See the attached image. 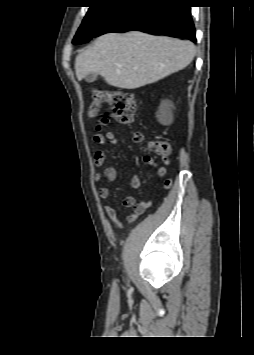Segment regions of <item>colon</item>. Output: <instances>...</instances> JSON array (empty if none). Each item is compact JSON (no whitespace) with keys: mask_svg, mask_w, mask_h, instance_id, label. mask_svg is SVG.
I'll return each mask as SVG.
<instances>
[{"mask_svg":"<svg viewBox=\"0 0 254 355\" xmlns=\"http://www.w3.org/2000/svg\"><path fill=\"white\" fill-rule=\"evenodd\" d=\"M92 101L89 107V115L95 117L99 114L103 104H109L112 108L113 117L121 124L131 125L134 123L136 112L135 95L131 91L124 89H93L91 95ZM106 118L100 120L102 124ZM108 120V119H107ZM133 139L137 143L145 140L141 132H135ZM147 149L161 157H166L170 154L171 146L167 139L151 140L147 142ZM172 179L164 181V188L171 187Z\"/></svg>","mask_w":254,"mask_h":355,"instance_id":"1","label":"colon"}]
</instances>
